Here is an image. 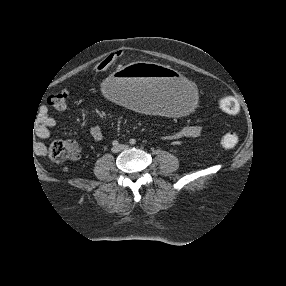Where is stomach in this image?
<instances>
[{
  "label": "stomach",
  "instance_id": "0dacf381",
  "mask_svg": "<svg viewBox=\"0 0 286 286\" xmlns=\"http://www.w3.org/2000/svg\"><path fill=\"white\" fill-rule=\"evenodd\" d=\"M104 94L125 108L169 122H182L199 111L203 92L192 75L171 66L135 61L106 78Z\"/></svg>",
  "mask_w": 286,
  "mask_h": 286
}]
</instances>
